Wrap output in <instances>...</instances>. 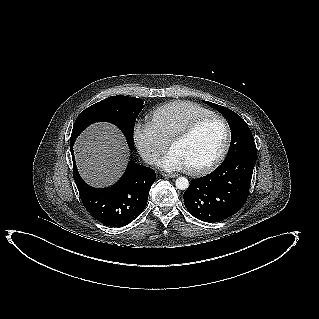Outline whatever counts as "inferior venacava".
Returning a JSON list of instances; mask_svg holds the SVG:
<instances>
[{
	"label": "inferior vena cava",
	"mask_w": 319,
	"mask_h": 319,
	"mask_svg": "<svg viewBox=\"0 0 319 319\" xmlns=\"http://www.w3.org/2000/svg\"><path fill=\"white\" fill-rule=\"evenodd\" d=\"M144 160H145V162H147L148 164H154V163L157 161L156 157H154V156L151 155V154L145 155V156H144Z\"/></svg>",
	"instance_id": "obj_1"
}]
</instances>
